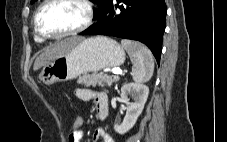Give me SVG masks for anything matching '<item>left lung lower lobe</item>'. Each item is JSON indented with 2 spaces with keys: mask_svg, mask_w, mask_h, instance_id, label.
<instances>
[{
  "mask_svg": "<svg viewBox=\"0 0 227 142\" xmlns=\"http://www.w3.org/2000/svg\"><path fill=\"white\" fill-rule=\"evenodd\" d=\"M166 13L164 0H109L97 23L80 34L140 41L149 47L159 63Z\"/></svg>",
  "mask_w": 227,
  "mask_h": 142,
  "instance_id": "obj_1",
  "label": "left lung lower lobe"
}]
</instances>
